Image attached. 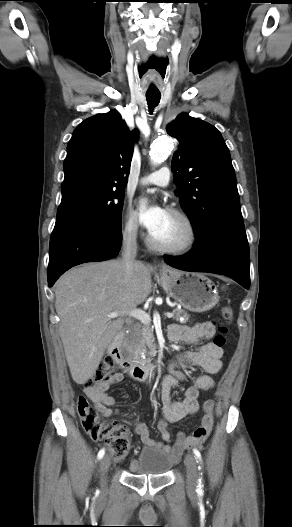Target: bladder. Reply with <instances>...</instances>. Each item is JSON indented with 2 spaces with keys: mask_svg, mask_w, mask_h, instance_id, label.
I'll return each instance as SVG.
<instances>
[{
  "mask_svg": "<svg viewBox=\"0 0 292 527\" xmlns=\"http://www.w3.org/2000/svg\"><path fill=\"white\" fill-rule=\"evenodd\" d=\"M172 459L157 448H145L129 464L130 471L137 475H163L172 467Z\"/></svg>",
  "mask_w": 292,
  "mask_h": 527,
  "instance_id": "bladder-1",
  "label": "bladder"
}]
</instances>
